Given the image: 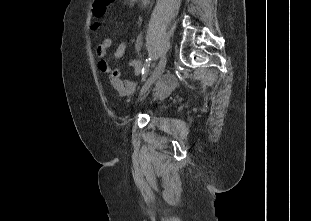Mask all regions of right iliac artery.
I'll return each mask as SVG.
<instances>
[{"mask_svg": "<svg viewBox=\"0 0 311 221\" xmlns=\"http://www.w3.org/2000/svg\"><path fill=\"white\" fill-rule=\"evenodd\" d=\"M150 61H151V58H148L145 60V63H144V66L141 70V73H142V80L144 81L148 75V72H149V67H150Z\"/></svg>", "mask_w": 311, "mask_h": 221, "instance_id": "1", "label": "right iliac artery"}]
</instances>
